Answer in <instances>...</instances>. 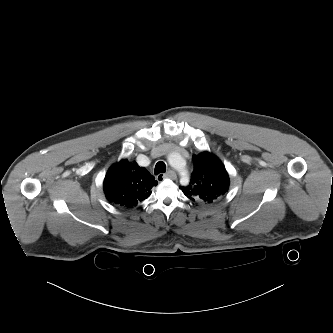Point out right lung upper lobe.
<instances>
[{"label":"right lung upper lobe","mask_w":333,"mask_h":333,"mask_svg":"<svg viewBox=\"0 0 333 333\" xmlns=\"http://www.w3.org/2000/svg\"><path fill=\"white\" fill-rule=\"evenodd\" d=\"M158 182L145 168L127 159L112 165L104 179L107 200L124 208H132L151 194Z\"/></svg>","instance_id":"cb5924a9"}]
</instances>
